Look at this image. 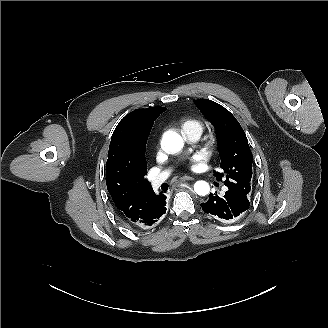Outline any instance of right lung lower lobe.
<instances>
[{"instance_id":"98d812e1","label":"right lung lower lobe","mask_w":328,"mask_h":328,"mask_svg":"<svg viewBox=\"0 0 328 328\" xmlns=\"http://www.w3.org/2000/svg\"><path fill=\"white\" fill-rule=\"evenodd\" d=\"M166 196L164 194L155 195L151 207L138 223L135 225H129L131 228L150 229L158 224L166 213ZM127 224V223H126Z\"/></svg>"}]
</instances>
